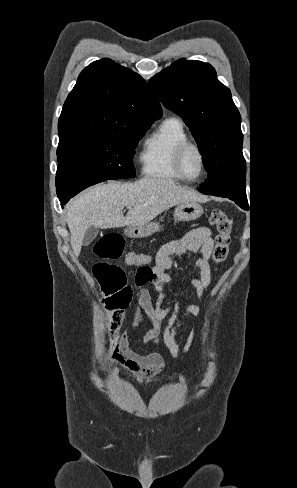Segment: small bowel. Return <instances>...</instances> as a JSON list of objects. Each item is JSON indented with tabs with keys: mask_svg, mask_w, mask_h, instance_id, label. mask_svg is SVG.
Segmentation results:
<instances>
[{
	"mask_svg": "<svg viewBox=\"0 0 297 488\" xmlns=\"http://www.w3.org/2000/svg\"><path fill=\"white\" fill-rule=\"evenodd\" d=\"M213 248L212 234L209 228L199 227L190 230L181 238L163 244L154 257L150 256L149 273L146 283L151 284L158 292L154 303L150 299L149 292L143 288L146 284L137 286L133 293V299L147 313L153 323L147 332L145 341L156 345L158 336L163 332L164 343L173 358L179 354L176 342V332L184 318L189 315L202 316V310L196 305L182 307L177 297H170L167 303L166 287L172 283L169 271L178 267L187 254H196L194 267L198 270V277L189 279L187 285L193 288L200 300L205 299L210 284L211 268L209 259ZM147 254L129 252L125 257L128 265L140 266L144 262L142 258ZM167 318V325L162 330V322ZM193 332L184 346L187 353L193 343ZM114 365L124 374L133 379L139 385L145 386L154 383L165 366V360L159 351L142 354L132 350L128 337L123 334L114 353ZM104 373L105 370H102Z\"/></svg>",
	"mask_w": 297,
	"mask_h": 488,
	"instance_id": "small-bowel-1",
	"label": "small bowel"
}]
</instances>
